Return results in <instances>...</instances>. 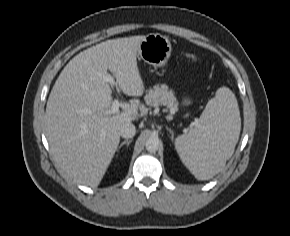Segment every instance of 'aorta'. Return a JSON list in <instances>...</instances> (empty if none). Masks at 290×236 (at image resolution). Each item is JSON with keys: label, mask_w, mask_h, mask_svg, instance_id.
Wrapping results in <instances>:
<instances>
[{"label": "aorta", "mask_w": 290, "mask_h": 236, "mask_svg": "<svg viewBox=\"0 0 290 236\" xmlns=\"http://www.w3.org/2000/svg\"><path fill=\"white\" fill-rule=\"evenodd\" d=\"M159 139L156 137H150L145 142L146 150L149 152H156L159 148Z\"/></svg>", "instance_id": "762f6f07"}]
</instances>
